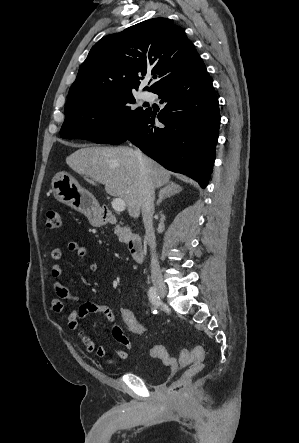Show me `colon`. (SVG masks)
I'll return each instance as SVG.
<instances>
[{"label": "colon", "instance_id": "colon-1", "mask_svg": "<svg viewBox=\"0 0 299 443\" xmlns=\"http://www.w3.org/2000/svg\"><path fill=\"white\" fill-rule=\"evenodd\" d=\"M48 228H60L62 226V218L58 211L50 210L46 214ZM121 322L125 328L138 337H144L148 333L146 323L135 315V313L127 308L122 307L120 310ZM150 355L161 360L165 365L175 369L178 365L190 366L189 369L174 383L171 384L169 391L172 395L178 396L184 392L190 379L199 373L204 367V351L200 346L192 349H181L178 358H174L169 354L162 345H155L150 349Z\"/></svg>", "mask_w": 299, "mask_h": 443}]
</instances>
